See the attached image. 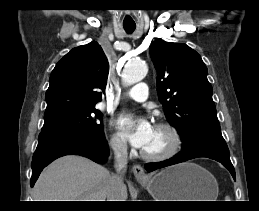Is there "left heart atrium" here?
I'll list each match as a JSON object with an SVG mask.
<instances>
[{
	"label": "left heart atrium",
	"mask_w": 259,
	"mask_h": 211,
	"mask_svg": "<svg viewBox=\"0 0 259 211\" xmlns=\"http://www.w3.org/2000/svg\"><path fill=\"white\" fill-rule=\"evenodd\" d=\"M116 125L134 147L142 149L148 144L154 129L152 124L144 118L120 117Z\"/></svg>",
	"instance_id": "1"
}]
</instances>
